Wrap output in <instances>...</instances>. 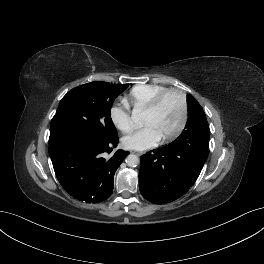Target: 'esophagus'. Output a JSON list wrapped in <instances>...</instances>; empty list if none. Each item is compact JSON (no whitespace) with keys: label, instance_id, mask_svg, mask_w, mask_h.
<instances>
[{"label":"esophagus","instance_id":"esophagus-1","mask_svg":"<svg viewBox=\"0 0 264 264\" xmlns=\"http://www.w3.org/2000/svg\"><path fill=\"white\" fill-rule=\"evenodd\" d=\"M131 153H134V154H136V155H138V156H141V155H142V153H141V152H135V151H134V152H132V151H131Z\"/></svg>","mask_w":264,"mask_h":264}]
</instances>
